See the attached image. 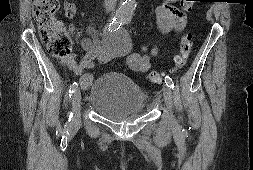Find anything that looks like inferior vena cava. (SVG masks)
I'll return each instance as SVG.
<instances>
[{"mask_svg":"<svg viewBox=\"0 0 253 170\" xmlns=\"http://www.w3.org/2000/svg\"><path fill=\"white\" fill-rule=\"evenodd\" d=\"M116 0H104V6L107 10H114Z\"/></svg>","mask_w":253,"mask_h":170,"instance_id":"inferior-vena-cava-1","label":"inferior vena cava"}]
</instances>
